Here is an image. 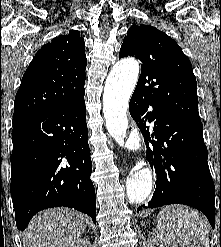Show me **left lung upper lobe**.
<instances>
[{
  "mask_svg": "<svg viewBox=\"0 0 221 247\" xmlns=\"http://www.w3.org/2000/svg\"><path fill=\"white\" fill-rule=\"evenodd\" d=\"M127 56L142 62L135 94L164 112L200 121L191 62L172 38L151 25H132L119 53Z\"/></svg>",
  "mask_w": 221,
  "mask_h": 247,
  "instance_id": "1",
  "label": "left lung upper lobe"
}]
</instances>
